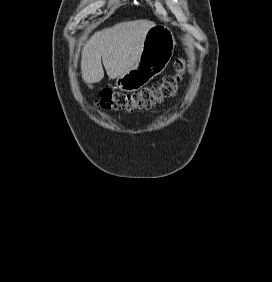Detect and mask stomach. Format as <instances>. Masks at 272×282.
Segmentation results:
<instances>
[{
	"label": "stomach",
	"mask_w": 272,
	"mask_h": 282,
	"mask_svg": "<svg viewBox=\"0 0 272 282\" xmlns=\"http://www.w3.org/2000/svg\"><path fill=\"white\" fill-rule=\"evenodd\" d=\"M174 47V37L166 27H151L145 36L139 59L132 68L117 77L116 87L126 92L142 88L164 71L173 56Z\"/></svg>",
	"instance_id": "1"
}]
</instances>
